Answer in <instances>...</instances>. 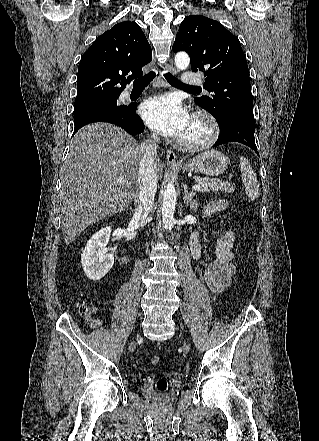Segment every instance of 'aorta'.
<instances>
[{"instance_id":"762f6f07","label":"aorta","mask_w":319,"mask_h":441,"mask_svg":"<svg viewBox=\"0 0 319 441\" xmlns=\"http://www.w3.org/2000/svg\"><path fill=\"white\" fill-rule=\"evenodd\" d=\"M190 63L189 55L179 51L175 55V65L180 70H185ZM177 192L172 182L168 183L163 196L162 221L164 227L171 229L175 224L174 211L176 206Z\"/></svg>"}]
</instances>
